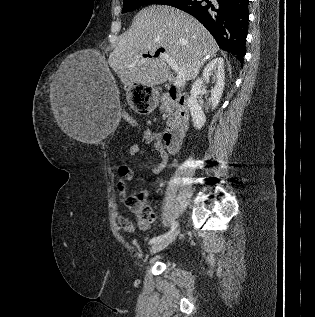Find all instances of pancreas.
<instances>
[{"instance_id": "1", "label": "pancreas", "mask_w": 315, "mask_h": 317, "mask_svg": "<svg viewBox=\"0 0 315 317\" xmlns=\"http://www.w3.org/2000/svg\"><path fill=\"white\" fill-rule=\"evenodd\" d=\"M167 98H168V95H167V94H164V95L162 96L161 101L166 102V101H167ZM162 108H164L163 105H162ZM165 114H167L168 116H170L171 112L165 111ZM164 116H165V115H164Z\"/></svg>"}]
</instances>
